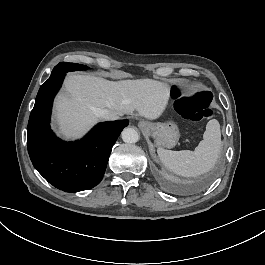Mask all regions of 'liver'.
Wrapping results in <instances>:
<instances>
[{"label": "liver", "instance_id": "6515ba94", "mask_svg": "<svg viewBox=\"0 0 265 265\" xmlns=\"http://www.w3.org/2000/svg\"><path fill=\"white\" fill-rule=\"evenodd\" d=\"M65 93L55 100V120L66 139L81 137L99 121L98 111L118 116L136 110L147 119L158 118L168 103L170 86L153 79L109 81L91 75L69 73Z\"/></svg>", "mask_w": 265, "mask_h": 265}]
</instances>
